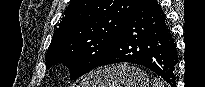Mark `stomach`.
Here are the masks:
<instances>
[{
    "instance_id": "obj_1",
    "label": "stomach",
    "mask_w": 205,
    "mask_h": 87,
    "mask_svg": "<svg viewBox=\"0 0 205 87\" xmlns=\"http://www.w3.org/2000/svg\"><path fill=\"white\" fill-rule=\"evenodd\" d=\"M80 87H148L149 79L141 69L128 64L92 72Z\"/></svg>"
}]
</instances>
